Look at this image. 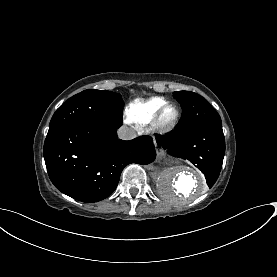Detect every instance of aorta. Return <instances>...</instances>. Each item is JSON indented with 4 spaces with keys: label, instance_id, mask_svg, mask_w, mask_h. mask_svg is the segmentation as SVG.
Masks as SVG:
<instances>
[{
    "label": "aorta",
    "instance_id": "762f6f07",
    "mask_svg": "<svg viewBox=\"0 0 277 277\" xmlns=\"http://www.w3.org/2000/svg\"><path fill=\"white\" fill-rule=\"evenodd\" d=\"M157 180L163 198L175 205L186 204L207 191L202 173L181 160L167 158Z\"/></svg>",
    "mask_w": 277,
    "mask_h": 277
}]
</instances>
